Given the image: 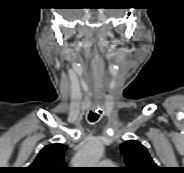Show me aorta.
<instances>
[{"label":"aorta","mask_w":184,"mask_h":173,"mask_svg":"<svg viewBox=\"0 0 184 173\" xmlns=\"http://www.w3.org/2000/svg\"><path fill=\"white\" fill-rule=\"evenodd\" d=\"M103 151L102 143L96 138H90L78 152L75 164L80 167H96Z\"/></svg>","instance_id":"obj_1"}]
</instances>
